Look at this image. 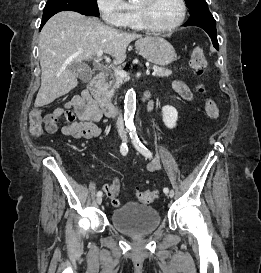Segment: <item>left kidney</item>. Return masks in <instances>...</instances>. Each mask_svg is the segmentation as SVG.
Segmentation results:
<instances>
[{
    "instance_id": "left-kidney-1",
    "label": "left kidney",
    "mask_w": 261,
    "mask_h": 273,
    "mask_svg": "<svg viewBox=\"0 0 261 273\" xmlns=\"http://www.w3.org/2000/svg\"><path fill=\"white\" fill-rule=\"evenodd\" d=\"M162 117L165 126L169 129L176 127V121L178 119V112L173 106H163L162 107Z\"/></svg>"
}]
</instances>
